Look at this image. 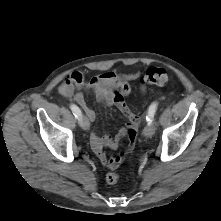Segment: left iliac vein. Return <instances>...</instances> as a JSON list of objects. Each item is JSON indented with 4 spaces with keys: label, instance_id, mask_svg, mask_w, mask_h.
<instances>
[{
    "label": "left iliac vein",
    "instance_id": "left-iliac-vein-1",
    "mask_svg": "<svg viewBox=\"0 0 221 221\" xmlns=\"http://www.w3.org/2000/svg\"><path fill=\"white\" fill-rule=\"evenodd\" d=\"M155 132V123H150L145 126L143 129V135L145 137H151Z\"/></svg>",
    "mask_w": 221,
    "mask_h": 221
}]
</instances>
